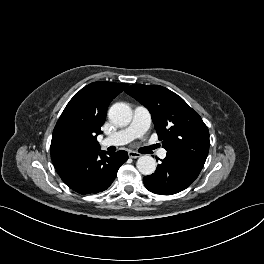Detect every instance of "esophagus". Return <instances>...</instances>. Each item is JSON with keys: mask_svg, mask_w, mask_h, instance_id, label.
I'll return each mask as SVG.
<instances>
[{"mask_svg": "<svg viewBox=\"0 0 264 264\" xmlns=\"http://www.w3.org/2000/svg\"><path fill=\"white\" fill-rule=\"evenodd\" d=\"M128 155H129L130 158H134V159H135V158H138V157L141 156L140 153L135 152V151H129V152H128Z\"/></svg>", "mask_w": 264, "mask_h": 264, "instance_id": "1", "label": "esophagus"}]
</instances>
